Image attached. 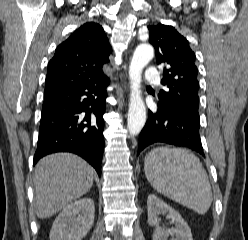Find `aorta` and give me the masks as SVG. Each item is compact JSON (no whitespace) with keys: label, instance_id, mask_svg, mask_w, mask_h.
Here are the masks:
<instances>
[{"label":"aorta","instance_id":"obj_1","mask_svg":"<svg viewBox=\"0 0 248 240\" xmlns=\"http://www.w3.org/2000/svg\"><path fill=\"white\" fill-rule=\"evenodd\" d=\"M154 56V50L149 44H141L134 51L129 66L130 103L127 126L131 135H137L146 121V107L141 95V74L144 67Z\"/></svg>","mask_w":248,"mask_h":240}]
</instances>
